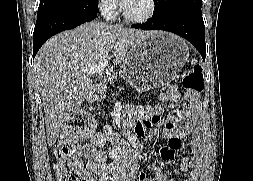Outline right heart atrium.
Segmentation results:
<instances>
[{
  "mask_svg": "<svg viewBox=\"0 0 253 181\" xmlns=\"http://www.w3.org/2000/svg\"><path fill=\"white\" fill-rule=\"evenodd\" d=\"M100 13L106 18H113L118 12L117 0H96Z\"/></svg>",
  "mask_w": 253,
  "mask_h": 181,
  "instance_id": "right-heart-atrium-1",
  "label": "right heart atrium"
}]
</instances>
